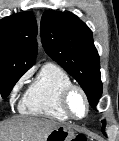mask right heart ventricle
I'll list each match as a JSON object with an SVG mask.
<instances>
[{
    "label": "right heart ventricle",
    "mask_w": 119,
    "mask_h": 141,
    "mask_svg": "<svg viewBox=\"0 0 119 141\" xmlns=\"http://www.w3.org/2000/svg\"><path fill=\"white\" fill-rule=\"evenodd\" d=\"M70 84L72 80L64 69L51 62L45 63L25 93L21 110L58 121L68 120L61 109L60 94Z\"/></svg>",
    "instance_id": "obj_1"
}]
</instances>
